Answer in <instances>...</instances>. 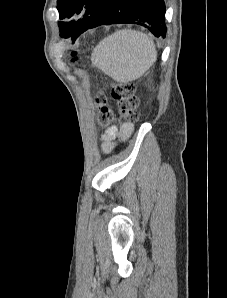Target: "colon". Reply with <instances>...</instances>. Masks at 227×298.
Segmentation results:
<instances>
[{"label": "colon", "instance_id": "obj_1", "mask_svg": "<svg viewBox=\"0 0 227 298\" xmlns=\"http://www.w3.org/2000/svg\"><path fill=\"white\" fill-rule=\"evenodd\" d=\"M72 56L75 57V53ZM111 97L117 103L121 120L128 122H136L138 120L139 99L135 94V87L132 83L119 82L113 84L111 86ZM95 103L99 107L97 112L99 124L109 125L116 120L112 110L107 105V98L103 93L96 95Z\"/></svg>", "mask_w": 227, "mask_h": 298}]
</instances>
